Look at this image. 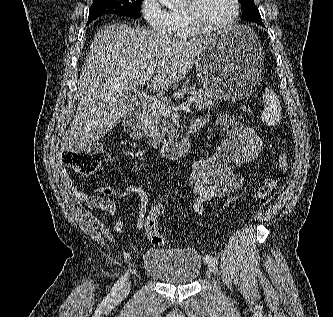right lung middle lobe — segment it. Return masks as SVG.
I'll use <instances>...</instances> for the list:
<instances>
[{
    "instance_id": "right-lung-middle-lobe-1",
    "label": "right lung middle lobe",
    "mask_w": 333,
    "mask_h": 317,
    "mask_svg": "<svg viewBox=\"0 0 333 317\" xmlns=\"http://www.w3.org/2000/svg\"><path fill=\"white\" fill-rule=\"evenodd\" d=\"M141 3L142 0H94L89 10L87 24L105 14L139 17Z\"/></svg>"
}]
</instances>
